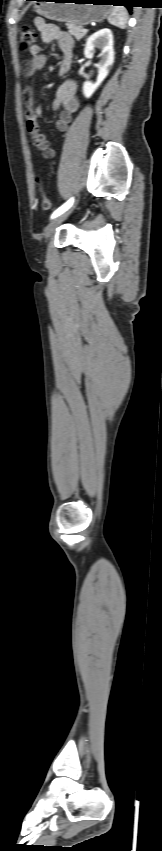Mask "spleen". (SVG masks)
<instances>
[{
  "label": "spleen",
  "mask_w": 162,
  "mask_h": 851,
  "mask_svg": "<svg viewBox=\"0 0 162 851\" xmlns=\"http://www.w3.org/2000/svg\"><path fill=\"white\" fill-rule=\"evenodd\" d=\"M127 18V10L124 7L111 6V12L108 17V21L110 24L124 29L126 27Z\"/></svg>",
  "instance_id": "3e777b00"
}]
</instances>
